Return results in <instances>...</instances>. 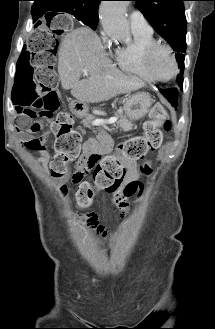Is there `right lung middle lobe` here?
<instances>
[{
  "mask_svg": "<svg viewBox=\"0 0 215 329\" xmlns=\"http://www.w3.org/2000/svg\"><path fill=\"white\" fill-rule=\"evenodd\" d=\"M62 9H63L64 13H69V14L75 16V18L77 20L81 21L85 25H88L93 30L96 29L98 21H92V20L87 19L83 14L82 9H75V6H64V7H62Z\"/></svg>",
  "mask_w": 215,
  "mask_h": 329,
  "instance_id": "1",
  "label": "right lung middle lobe"
}]
</instances>
